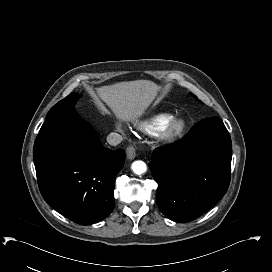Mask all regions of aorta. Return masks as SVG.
Here are the masks:
<instances>
[{
	"label": "aorta",
	"instance_id": "762f6f07",
	"mask_svg": "<svg viewBox=\"0 0 272 272\" xmlns=\"http://www.w3.org/2000/svg\"><path fill=\"white\" fill-rule=\"evenodd\" d=\"M133 172L137 175H141L147 170V166L143 161H135L131 166Z\"/></svg>",
	"mask_w": 272,
	"mask_h": 272
}]
</instances>
